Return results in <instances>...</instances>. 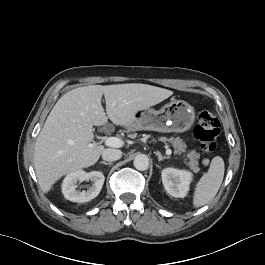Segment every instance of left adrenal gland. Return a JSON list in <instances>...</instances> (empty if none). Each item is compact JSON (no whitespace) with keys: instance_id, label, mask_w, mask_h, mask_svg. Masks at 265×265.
I'll return each instance as SVG.
<instances>
[{"instance_id":"obj_1","label":"left adrenal gland","mask_w":265,"mask_h":265,"mask_svg":"<svg viewBox=\"0 0 265 265\" xmlns=\"http://www.w3.org/2000/svg\"><path fill=\"white\" fill-rule=\"evenodd\" d=\"M155 154L158 156V161L159 162H161L164 159H169L170 158L169 156H162V154L159 151H157Z\"/></svg>"}]
</instances>
